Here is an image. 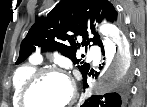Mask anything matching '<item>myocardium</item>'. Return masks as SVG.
Returning a JSON list of instances; mask_svg holds the SVG:
<instances>
[{
  "instance_id": "1",
  "label": "myocardium",
  "mask_w": 147,
  "mask_h": 107,
  "mask_svg": "<svg viewBox=\"0 0 147 107\" xmlns=\"http://www.w3.org/2000/svg\"><path fill=\"white\" fill-rule=\"evenodd\" d=\"M51 75H57L64 79H66L71 88L70 96L67 99L65 103H63L59 107H68L72 105L76 99L77 96V88L74 80L66 74L64 70H62L59 67H45L38 69L27 81L26 85L24 86L22 93H21V102L23 107H32L29 101V96L32 91V89L45 77L51 76Z\"/></svg>"
}]
</instances>
